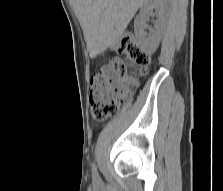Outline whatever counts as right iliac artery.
Returning a JSON list of instances; mask_svg holds the SVG:
<instances>
[{
	"label": "right iliac artery",
	"mask_w": 223,
	"mask_h": 191,
	"mask_svg": "<svg viewBox=\"0 0 223 191\" xmlns=\"http://www.w3.org/2000/svg\"><path fill=\"white\" fill-rule=\"evenodd\" d=\"M92 171H93L94 177L97 178L98 174H97V170H96L95 166H93V170Z\"/></svg>",
	"instance_id": "right-iliac-artery-1"
}]
</instances>
